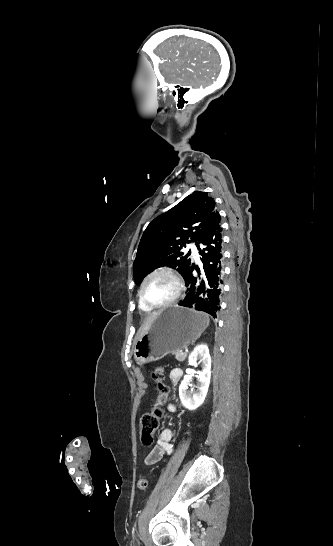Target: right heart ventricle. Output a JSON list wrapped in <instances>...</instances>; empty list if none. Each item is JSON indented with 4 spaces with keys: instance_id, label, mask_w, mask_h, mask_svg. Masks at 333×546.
Instances as JSON below:
<instances>
[{
    "instance_id": "right-heart-ventricle-1",
    "label": "right heart ventricle",
    "mask_w": 333,
    "mask_h": 546,
    "mask_svg": "<svg viewBox=\"0 0 333 546\" xmlns=\"http://www.w3.org/2000/svg\"><path fill=\"white\" fill-rule=\"evenodd\" d=\"M138 304H139V308H140L142 311H144V312H150V311L153 310L152 308L148 307L147 305H145V304L143 303V301L141 300L139 294H138Z\"/></svg>"
}]
</instances>
